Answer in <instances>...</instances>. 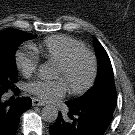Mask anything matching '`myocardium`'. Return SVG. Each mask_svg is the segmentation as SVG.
I'll return each instance as SVG.
<instances>
[{"instance_id": "f54148a6", "label": "myocardium", "mask_w": 135, "mask_h": 135, "mask_svg": "<svg viewBox=\"0 0 135 135\" xmlns=\"http://www.w3.org/2000/svg\"><path fill=\"white\" fill-rule=\"evenodd\" d=\"M83 57L87 58L90 62V75L87 82L82 87H69L70 92L74 95H83L93 87L98 75V62L95 55L89 50L76 51L72 53L66 60L58 64V67L63 72H68L73 65Z\"/></svg>"}]
</instances>
